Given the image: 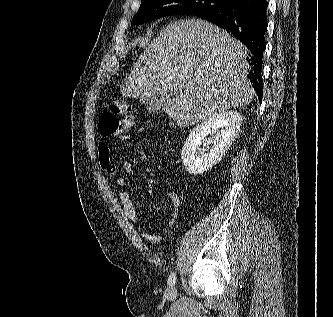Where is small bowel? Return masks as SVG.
Wrapping results in <instances>:
<instances>
[{
    "label": "small bowel",
    "instance_id": "c3829d8e",
    "mask_svg": "<svg viewBox=\"0 0 333 317\" xmlns=\"http://www.w3.org/2000/svg\"><path fill=\"white\" fill-rule=\"evenodd\" d=\"M119 139L121 141H128V140H130V135L122 134L119 136ZM98 160H99L100 167L106 173H108L110 175H114L117 173V167L111 159L109 146L104 141H101L98 144ZM133 167L134 166H133L132 161H130V160L124 161L123 170L126 174H131L133 171ZM126 185H127V181L124 177H119L117 179V186L119 189V199L122 203L123 212H124L125 216L128 218V220H130L136 227H138L140 229L141 224L137 217L136 208H135L134 203L131 199V196L126 188ZM167 196L173 205V214H172L171 220L169 221L168 225L161 233L153 234V233H149L146 231H142L140 233V236L145 241H148L150 243L160 242L163 239V236L172 229V227L175 225V223L177 221L179 211H180V205H181L180 197H179L177 191H175L173 189L167 190Z\"/></svg>",
    "mask_w": 333,
    "mask_h": 317
}]
</instances>
